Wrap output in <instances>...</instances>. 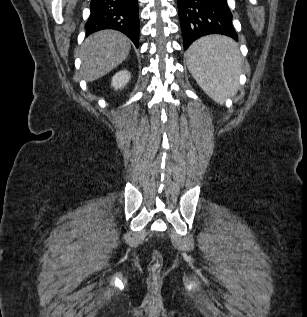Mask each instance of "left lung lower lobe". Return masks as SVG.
Segmentation results:
<instances>
[{
	"instance_id": "obj_1",
	"label": "left lung lower lobe",
	"mask_w": 307,
	"mask_h": 317,
	"mask_svg": "<svg viewBox=\"0 0 307 317\" xmlns=\"http://www.w3.org/2000/svg\"><path fill=\"white\" fill-rule=\"evenodd\" d=\"M178 10L184 50L208 34H222L238 41L227 0H178ZM230 55L231 51L225 50L220 58Z\"/></svg>"
}]
</instances>
